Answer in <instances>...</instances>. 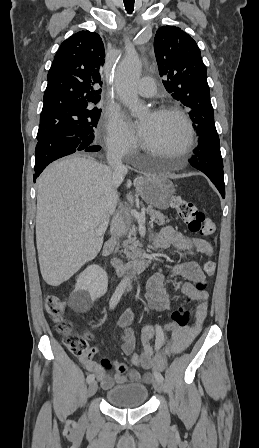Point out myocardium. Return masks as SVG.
<instances>
[{"mask_svg": "<svg viewBox=\"0 0 259 448\" xmlns=\"http://www.w3.org/2000/svg\"><path fill=\"white\" fill-rule=\"evenodd\" d=\"M169 113L177 116L182 121V123L184 124V127H185L184 139L176 147L173 148L174 156L179 158L181 160V162L184 163L189 156V150L193 143L194 127H193L191 120L187 116V114L179 106H177L175 104L167 103V104L159 105L155 108V110L153 112V114L157 115V116H161V115L169 114ZM140 147L143 150L153 152V150L149 146H147L145 143H143L141 140H140Z\"/></svg>", "mask_w": 259, "mask_h": 448, "instance_id": "obj_1", "label": "myocardium"}]
</instances>
